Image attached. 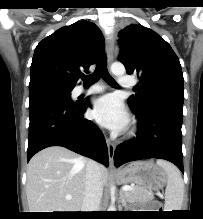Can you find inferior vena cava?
<instances>
[{"mask_svg": "<svg viewBox=\"0 0 203 219\" xmlns=\"http://www.w3.org/2000/svg\"><path fill=\"white\" fill-rule=\"evenodd\" d=\"M103 187L99 179V165L89 160L86 166V187L81 206L82 212L99 211Z\"/></svg>", "mask_w": 203, "mask_h": 219, "instance_id": "602c4592", "label": "inferior vena cava"}]
</instances>
